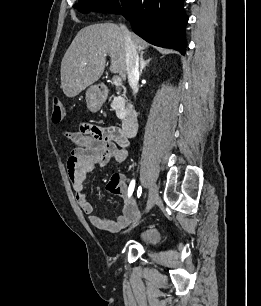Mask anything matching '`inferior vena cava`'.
<instances>
[{
  "label": "inferior vena cava",
  "instance_id": "1",
  "mask_svg": "<svg viewBox=\"0 0 261 306\" xmlns=\"http://www.w3.org/2000/svg\"><path fill=\"white\" fill-rule=\"evenodd\" d=\"M124 40L126 51V71L128 76V82L133 90V93L138 92V80H139V55L138 51L131 39L130 32L125 25H120Z\"/></svg>",
  "mask_w": 261,
  "mask_h": 306
}]
</instances>
